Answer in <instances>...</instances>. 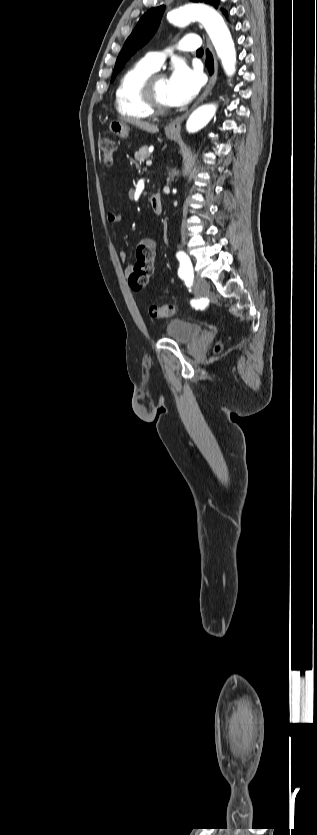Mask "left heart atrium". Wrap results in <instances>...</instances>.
<instances>
[{
    "mask_svg": "<svg viewBox=\"0 0 317 835\" xmlns=\"http://www.w3.org/2000/svg\"><path fill=\"white\" fill-rule=\"evenodd\" d=\"M200 86L201 78L198 72L191 70L184 63L176 64L167 84L170 104H187L199 92Z\"/></svg>",
    "mask_w": 317,
    "mask_h": 835,
    "instance_id": "obj_1",
    "label": "left heart atrium"
}]
</instances>
